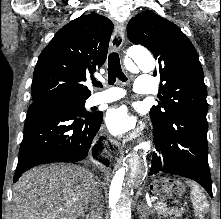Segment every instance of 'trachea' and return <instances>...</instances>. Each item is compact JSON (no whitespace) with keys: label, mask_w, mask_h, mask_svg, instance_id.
I'll use <instances>...</instances> for the list:
<instances>
[{"label":"trachea","mask_w":221,"mask_h":219,"mask_svg":"<svg viewBox=\"0 0 221 219\" xmlns=\"http://www.w3.org/2000/svg\"><path fill=\"white\" fill-rule=\"evenodd\" d=\"M117 78L123 82L127 81V78L121 69L118 53L112 52L108 57V82L109 84H114ZM93 85L96 87H102L101 83L98 81H93Z\"/></svg>","instance_id":"1"}]
</instances>
